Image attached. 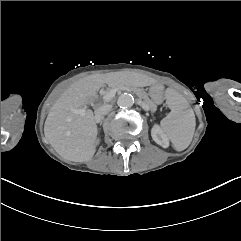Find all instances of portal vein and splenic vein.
<instances>
[{"label":"portal vein and splenic vein","instance_id":"portal-vein-and-splenic-vein-1","mask_svg":"<svg viewBox=\"0 0 241 241\" xmlns=\"http://www.w3.org/2000/svg\"><path fill=\"white\" fill-rule=\"evenodd\" d=\"M117 90H118L117 88L111 89L109 92H107L104 95L103 99L105 101H110L115 96ZM70 110L75 114H79L80 116H85V113H86V108L75 109L72 107Z\"/></svg>","mask_w":241,"mask_h":241}]
</instances>
